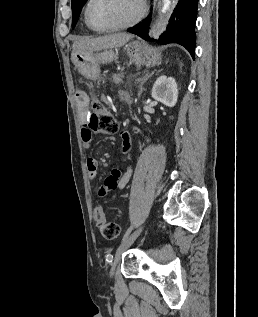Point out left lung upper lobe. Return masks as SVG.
I'll return each instance as SVG.
<instances>
[{"label": "left lung upper lobe", "mask_w": 258, "mask_h": 317, "mask_svg": "<svg viewBox=\"0 0 258 317\" xmlns=\"http://www.w3.org/2000/svg\"><path fill=\"white\" fill-rule=\"evenodd\" d=\"M86 1L87 0H72V27L73 28L75 27L78 21L81 9L84 6Z\"/></svg>", "instance_id": "left-lung-upper-lobe-1"}]
</instances>
